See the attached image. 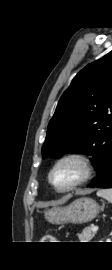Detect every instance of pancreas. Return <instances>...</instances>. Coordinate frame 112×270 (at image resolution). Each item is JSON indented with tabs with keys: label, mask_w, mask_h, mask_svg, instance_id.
I'll return each mask as SVG.
<instances>
[{
	"label": "pancreas",
	"mask_w": 112,
	"mask_h": 270,
	"mask_svg": "<svg viewBox=\"0 0 112 270\" xmlns=\"http://www.w3.org/2000/svg\"><path fill=\"white\" fill-rule=\"evenodd\" d=\"M96 231H92L91 227L85 228L82 233L78 234L80 242H90V240L95 236Z\"/></svg>",
	"instance_id": "obj_1"
}]
</instances>
